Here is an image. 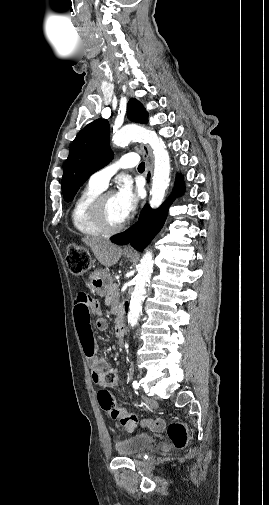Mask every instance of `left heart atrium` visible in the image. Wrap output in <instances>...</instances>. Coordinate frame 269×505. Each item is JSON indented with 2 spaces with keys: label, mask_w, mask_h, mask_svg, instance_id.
I'll return each mask as SVG.
<instances>
[{
  "label": "left heart atrium",
  "mask_w": 269,
  "mask_h": 505,
  "mask_svg": "<svg viewBox=\"0 0 269 505\" xmlns=\"http://www.w3.org/2000/svg\"><path fill=\"white\" fill-rule=\"evenodd\" d=\"M119 213L124 219H127L135 210L138 203V195L132 184L124 180L114 194Z\"/></svg>",
  "instance_id": "left-heart-atrium-1"
}]
</instances>
